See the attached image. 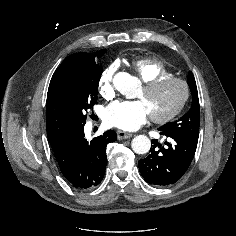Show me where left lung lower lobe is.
I'll return each mask as SVG.
<instances>
[{
    "label": "left lung lower lobe",
    "instance_id": "0a47b994",
    "mask_svg": "<svg viewBox=\"0 0 236 236\" xmlns=\"http://www.w3.org/2000/svg\"><path fill=\"white\" fill-rule=\"evenodd\" d=\"M170 142L165 147L154 139L150 154L138 162L145 181L151 185L167 186L176 183L191 164L198 140L178 133L158 129Z\"/></svg>",
    "mask_w": 236,
    "mask_h": 236
}]
</instances>
